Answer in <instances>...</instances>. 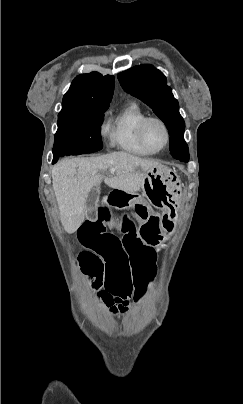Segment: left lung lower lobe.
Masks as SVG:
<instances>
[{"label":"left lung lower lobe","mask_w":243,"mask_h":404,"mask_svg":"<svg viewBox=\"0 0 243 404\" xmlns=\"http://www.w3.org/2000/svg\"><path fill=\"white\" fill-rule=\"evenodd\" d=\"M180 161H183V162H188V161H189V159H182V160H180Z\"/></svg>","instance_id":"0a47b994"}]
</instances>
